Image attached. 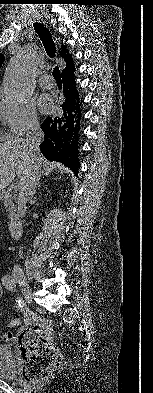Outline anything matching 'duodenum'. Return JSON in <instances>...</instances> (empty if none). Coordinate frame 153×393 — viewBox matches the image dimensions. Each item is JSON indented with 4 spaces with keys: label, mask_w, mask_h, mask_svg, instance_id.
I'll return each instance as SVG.
<instances>
[{
    "label": "duodenum",
    "mask_w": 153,
    "mask_h": 393,
    "mask_svg": "<svg viewBox=\"0 0 153 393\" xmlns=\"http://www.w3.org/2000/svg\"><path fill=\"white\" fill-rule=\"evenodd\" d=\"M8 196L0 195V199H6ZM23 230L22 222L20 221L19 217L14 215L12 216L10 223H9V234L13 238H17L21 235Z\"/></svg>",
    "instance_id": "1"
}]
</instances>
